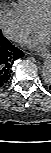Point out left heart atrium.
<instances>
[{
	"label": "left heart atrium",
	"mask_w": 51,
	"mask_h": 153,
	"mask_svg": "<svg viewBox=\"0 0 51 153\" xmlns=\"http://www.w3.org/2000/svg\"><path fill=\"white\" fill-rule=\"evenodd\" d=\"M48 35L45 32H39L34 38L26 39L25 43L32 47H38L48 43Z\"/></svg>",
	"instance_id": "39dd6f15"
}]
</instances>
